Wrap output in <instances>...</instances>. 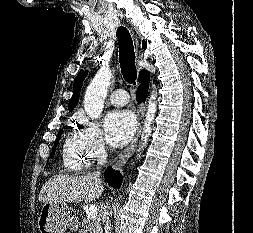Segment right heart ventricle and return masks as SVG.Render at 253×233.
<instances>
[{
    "instance_id": "e07e8e85",
    "label": "right heart ventricle",
    "mask_w": 253,
    "mask_h": 233,
    "mask_svg": "<svg viewBox=\"0 0 253 233\" xmlns=\"http://www.w3.org/2000/svg\"><path fill=\"white\" fill-rule=\"evenodd\" d=\"M90 155L78 132L67 134L62 148L64 167L72 172H79L88 167Z\"/></svg>"
}]
</instances>
